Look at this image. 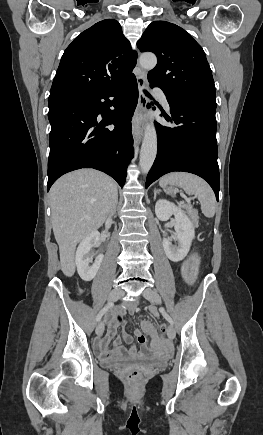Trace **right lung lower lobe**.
Wrapping results in <instances>:
<instances>
[{
	"label": "right lung lower lobe",
	"instance_id": "right-lung-lower-lobe-1",
	"mask_svg": "<svg viewBox=\"0 0 263 435\" xmlns=\"http://www.w3.org/2000/svg\"><path fill=\"white\" fill-rule=\"evenodd\" d=\"M109 97H114V110L109 109ZM137 102L138 87L133 75L89 97L49 106L47 190L61 175L80 168L103 171L123 186L133 157L130 121ZM100 114L103 120L99 123ZM112 123L113 130L106 128Z\"/></svg>",
	"mask_w": 263,
	"mask_h": 435
}]
</instances>
